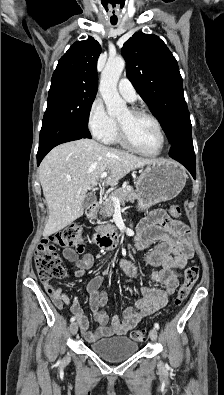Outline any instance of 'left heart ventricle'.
Masks as SVG:
<instances>
[{
  "label": "left heart ventricle",
  "mask_w": 224,
  "mask_h": 395,
  "mask_svg": "<svg viewBox=\"0 0 224 395\" xmlns=\"http://www.w3.org/2000/svg\"><path fill=\"white\" fill-rule=\"evenodd\" d=\"M120 121L128 130L133 142L146 152L158 151L161 138L155 123L145 116H133L129 110L120 117Z\"/></svg>",
  "instance_id": "left-heart-ventricle-1"
}]
</instances>
